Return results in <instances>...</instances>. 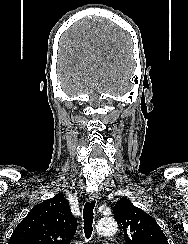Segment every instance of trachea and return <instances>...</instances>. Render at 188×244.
Returning <instances> with one entry per match:
<instances>
[{"label":"trachea","mask_w":188,"mask_h":244,"mask_svg":"<svg viewBox=\"0 0 188 244\" xmlns=\"http://www.w3.org/2000/svg\"><path fill=\"white\" fill-rule=\"evenodd\" d=\"M95 202H87L83 209L84 234L87 239L92 235Z\"/></svg>","instance_id":"3493384b"}]
</instances>
